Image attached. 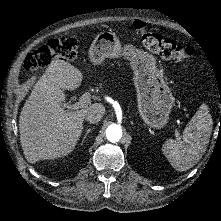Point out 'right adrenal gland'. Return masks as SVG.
I'll use <instances>...</instances> for the list:
<instances>
[{
	"instance_id": "2a0ac1e0",
	"label": "right adrenal gland",
	"mask_w": 221,
	"mask_h": 221,
	"mask_svg": "<svg viewBox=\"0 0 221 221\" xmlns=\"http://www.w3.org/2000/svg\"><path fill=\"white\" fill-rule=\"evenodd\" d=\"M91 131L90 128H86V131L84 133V136L82 138V141L80 142V146H82L83 142H84V139L86 138L87 134Z\"/></svg>"
}]
</instances>
